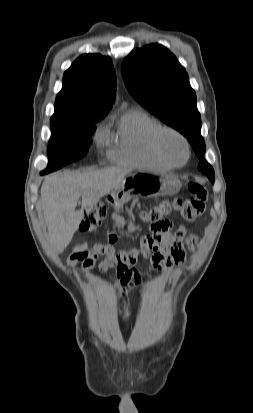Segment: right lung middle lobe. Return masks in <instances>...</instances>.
Returning <instances> with one entry per match:
<instances>
[{
  "label": "right lung middle lobe",
  "mask_w": 253,
  "mask_h": 413,
  "mask_svg": "<svg viewBox=\"0 0 253 413\" xmlns=\"http://www.w3.org/2000/svg\"><path fill=\"white\" fill-rule=\"evenodd\" d=\"M102 117L51 118V138L48 146V166L43 174L76 161L88 152L95 132V123Z\"/></svg>",
  "instance_id": "1"
}]
</instances>
